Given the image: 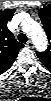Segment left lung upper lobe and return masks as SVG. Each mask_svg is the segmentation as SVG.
<instances>
[{
    "mask_svg": "<svg viewBox=\"0 0 51 101\" xmlns=\"http://www.w3.org/2000/svg\"><path fill=\"white\" fill-rule=\"evenodd\" d=\"M39 16L43 23V27L47 33V37L51 39V4L39 10ZM40 61L46 67L51 66V46L44 52H37Z\"/></svg>",
    "mask_w": 51,
    "mask_h": 101,
    "instance_id": "obj_1",
    "label": "left lung upper lobe"
}]
</instances>
